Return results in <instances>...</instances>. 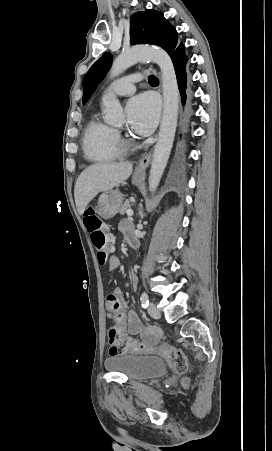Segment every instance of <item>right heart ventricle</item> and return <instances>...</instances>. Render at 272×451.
I'll return each instance as SVG.
<instances>
[{
    "label": "right heart ventricle",
    "instance_id": "1",
    "mask_svg": "<svg viewBox=\"0 0 272 451\" xmlns=\"http://www.w3.org/2000/svg\"><path fill=\"white\" fill-rule=\"evenodd\" d=\"M84 150L86 156L96 162L113 159L117 152V135L107 123L94 118L84 135Z\"/></svg>",
    "mask_w": 272,
    "mask_h": 451
}]
</instances>
